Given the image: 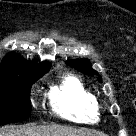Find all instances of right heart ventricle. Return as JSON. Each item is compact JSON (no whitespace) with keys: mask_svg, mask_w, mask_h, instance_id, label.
Segmentation results:
<instances>
[{"mask_svg":"<svg viewBox=\"0 0 136 136\" xmlns=\"http://www.w3.org/2000/svg\"><path fill=\"white\" fill-rule=\"evenodd\" d=\"M53 111L76 123H94L99 118L100 105L96 95L76 75L67 74L49 92Z\"/></svg>","mask_w":136,"mask_h":136,"instance_id":"obj_1","label":"right heart ventricle"}]
</instances>
